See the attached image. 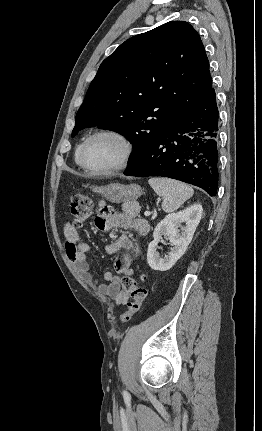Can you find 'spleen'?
I'll return each mask as SVG.
<instances>
[{"mask_svg":"<svg viewBox=\"0 0 262 431\" xmlns=\"http://www.w3.org/2000/svg\"><path fill=\"white\" fill-rule=\"evenodd\" d=\"M148 183L163 198L162 209L166 213L177 210L194 193L189 185L170 178L152 177Z\"/></svg>","mask_w":262,"mask_h":431,"instance_id":"spleen-1","label":"spleen"}]
</instances>
